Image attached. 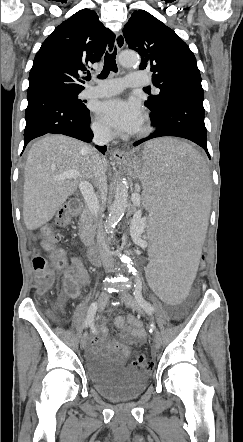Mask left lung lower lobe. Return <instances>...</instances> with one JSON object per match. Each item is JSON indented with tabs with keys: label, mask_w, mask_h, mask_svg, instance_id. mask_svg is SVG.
I'll use <instances>...</instances> for the list:
<instances>
[{
	"label": "left lung lower lobe",
	"mask_w": 243,
	"mask_h": 442,
	"mask_svg": "<svg viewBox=\"0 0 243 442\" xmlns=\"http://www.w3.org/2000/svg\"><path fill=\"white\" fill-rule=\"evenodd\" d=\"M151 125L156 127L155 132L135 142L134 146L157 137L176 136L198 144L210 158L204 124L203 89L184 87L173 92L166 99L162 111L151 116Z\"/></svg>",
	"instance_id": "obj_1"
}]
</instances>
